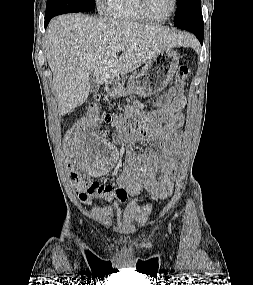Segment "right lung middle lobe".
<instances>
[{"instance_id":"right-lung-middle-lobe-1","label":"right lung middle lobe","mask_w":253,"mask_h":285,"mask_svg":"<svg viewBox=\"0 0 253 285\" xmlns=\"http://www.w3.org/2000/svg\"><path fill=\"white\" fill-rule=\"evenodd\" d=\"M94 7V0H47L45 16L85 12L92 10Z\"/></svg>"}]
</instances>
